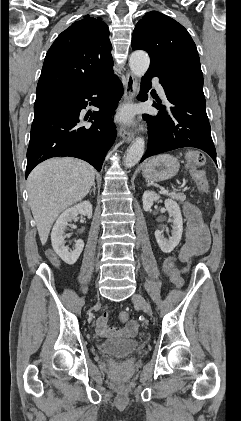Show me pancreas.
<instances>
[{"mask_svg":"<svg viewBox=\"0 0 241 421\" xmlns=\"http://www.w3.org/2000/svg\"><path fill=\"white\" fill-rule=\"evenodd\" d=\"M167 195L179 202H184L186 200V196L183 193H167Z\"/></svg>","mask_w":241,"mask_h":421,"instance_id":"obj_1","label":"pancreas"}]
</instances>
